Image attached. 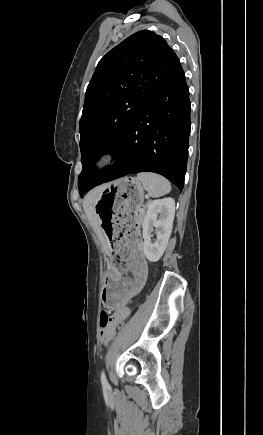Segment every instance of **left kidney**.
<instances>
[{
	"label": "left kidney",
	"instance_id": "5707ae66",
	"mask_svg": "<svg viewBox=\"0 0 263 435\" xmlns=\"http://www.w3.org/2000/svg\"><path fill=\"white\" fill-rule=\"evenodd\" d=\"M175 201L173 198L153 200L147 209L143 228V252L150 262H157L163 255L173 226ZM157 231L156 239L151 240L153 228Z\"/></svg>",
	"mask_w": 263,
	"mask_h": 435
}]
</instances>
